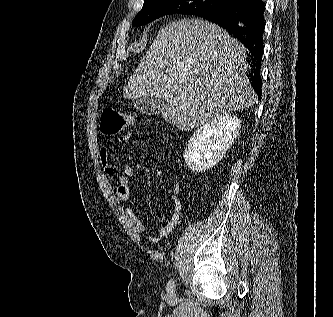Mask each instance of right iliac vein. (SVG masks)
<instances>
[{"label": "right iliac vein", "instance_id": "right-iliac-vein-1", "mask_svg": "<svg viewBox=\"0 0 333 317\" xmlns=\"http://www.w3.org/2000/svg\"><path fill=\"white\" fill-rule=\"evenodd\" d=\"M168 297H169L170 299H173V298H175V295H174L173 293H170V294L168 295Z\"/></svg>", "mask_w": 333, "mask_h": 317}]
</instances>
